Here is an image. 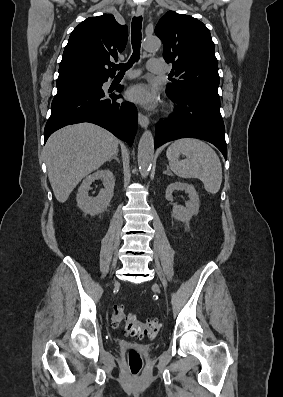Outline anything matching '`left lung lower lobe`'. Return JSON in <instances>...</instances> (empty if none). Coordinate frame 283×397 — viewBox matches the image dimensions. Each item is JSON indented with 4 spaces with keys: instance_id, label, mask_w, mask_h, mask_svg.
<instances>
[{
    "instance_id": "left-lung-lower-lobe-1",
    "label": "left lung lower lobe",
    "mask_w": 283,
    "mask_h": 397,
    "mask_svg": "<svg viewBox=\"0 0 283 397\" xmlns=\"http://www.w3.org/2000/svg\"><path fill=\"white\" fill-rule=\"evenodd\" d=\"M168 96L176 103L175 112L156 124L154 147L179 138H198L215 145L227 159L220 102L200 95Z\"/></svg>"
}]
</instances>
